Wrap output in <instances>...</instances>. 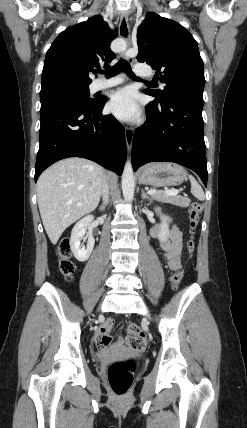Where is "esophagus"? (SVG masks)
Returning a JSON list of instances; mask_svg holds the SVG:
<instances>
[{
  "mask_svg": "<svg viewBox=\"0 0 247 428\" xmlns=\"http://www.w3.org/2000/svg\"><path fill=\"white\" fill-rule=\"evenodd\" d=\"M119 33L121 37L126 41L127 45H130V26L128 22V15L126 13H123L121 15L120 23H119ZM128 61L131 64H133L134 59L129 58ZM133 136H134L133 128L130 126H125V140H126L128 150H130L132 147Z\"/></svg>",
  "mask_w": 247,
  "mask_h": 428,
  "instance_id": "34e87169",
  "label": "esophagus"
}]
</instances>
